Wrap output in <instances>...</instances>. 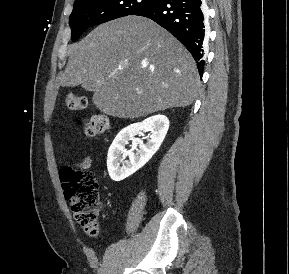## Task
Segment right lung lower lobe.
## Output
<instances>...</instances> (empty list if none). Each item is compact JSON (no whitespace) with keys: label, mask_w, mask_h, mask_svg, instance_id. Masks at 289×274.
<instances>
[{"label":"right lung lower lobe","mask_w":289,"mask_h":274,"mask_svg":"<svg viewBox=\"0 0 289 274\" xmlns=\"http://www.w3.org/2000/svg\"><path fill=\"white\" fill-rule=\"evenodd\" d=\"M135 15L150 18L173 34L192 54L202 76L205 64L203 0H155Z\"/></svg>","instance_id":"1"}]
</instances>
